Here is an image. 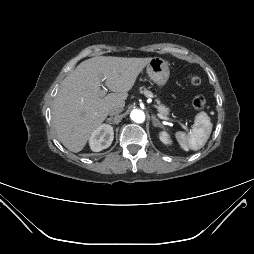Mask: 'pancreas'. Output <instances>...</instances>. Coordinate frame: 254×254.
Returning a JSON list of instances; mask_svg holds the SVG:
<instances>
[{"label":"pancreas","mask_w":254,"mask_h":254,"mask_svg":"<svg viewBox=\"0 0 254 254\" xmlns=\"http://www.w3.org/2000/svg\"><path fill=\"white\" fill-rule=\"evenodd\" d=\"M140 92L144 93V94H148L149 93V91L147 89L143 88V87L140 88ZM157 103H158V106H157L158 112L160 114L166 116L168 114V112H169V109L166 108L165 106L161 105L159 101H157Z\"/></svg>","instance_id":"pancreas-1"}]
</instances>
